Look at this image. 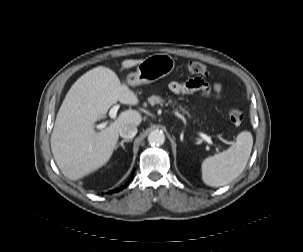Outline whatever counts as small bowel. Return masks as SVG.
<instances>
[{"mask_svg": "<svg viewBox=\"0 0 303 252\" xmlns=\"http://www.w3.org/2000/svg\"><path fill=\"white\" fill-rule=\"evenodd\" d=\"M169 90L177 95H188L195 92H205L208 89V84L200 78L190 79L184 82L171 81L168 85ZM222 87L216 83L213 86V91L216 97H219Z\"/></svg>", "mask_w": 303, "mask_h": 252, "instance_id": "c3829d8e", "label": "small bowel"}]
</instances>
